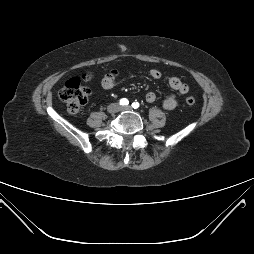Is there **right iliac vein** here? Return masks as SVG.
I'll return each mask as SVG.
<instances>
[{"label":"right iliac vein","mask_w":254,"mask_h":254,"mask_svg":"<svg viewBox=\"0 0 254 254\" xmlns=\"http://www.w3.org/2000/svg\"><path fill=\"white\" fill-rule=\"evenodd\" d=\"M120 110V107L116 103H112L108 106L107 111L109 113H116Z\"/></svg>","instance_id":"right-iliac-vein-1"}]
</instances>
